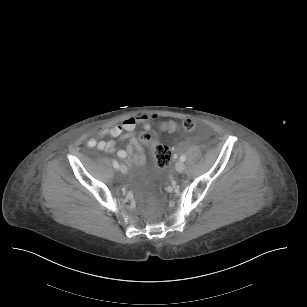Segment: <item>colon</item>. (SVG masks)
<instances>
[{"mask_svg":"<svg viewBox=\"0 0 307 307\" xmlns=\"http://www.w3.org/2000/svg\"><path fill=\"white\" fill-rule=\"evenodd\" d=\"M195 127L196 123L192 119H185L182 121V128L185 132H192L195 130ZM156 129L160 133L174 134L178 130V123L174 119H161L157 122ZM150 135V132L146 130L140 133L139 138L142 141L152 144L157 167L164 170L170 164L172 151L167 145L158 143V141Z\"/></svg>","mask_w":307,"mask_h":307,"instance_id":"obj_1","label":"colon"}]
</instances>
